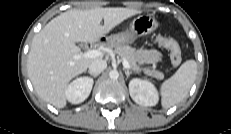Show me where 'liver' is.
I'll return each mask as SVG.
<instances>
[{
  "label": "liver",
  "instance_id": "6515ba94",
  "mask_svg": "<svg viewBox=\"0 0 231 134\" xmlns=\"http://www.w3.org/2000/svg\"><path fill=\"white\" fill-rule=\"evenodd\" d=\"M139 11L129 8L72 9L53 18L31 43L27 71L36 93L57 108L66 106L69 81L96 58L78 57L77 42H96ZM102 19L104 25H101Z\"/></svg>",
  "mask_w": 231,
  "mask_h": 134
}]
</instances>
